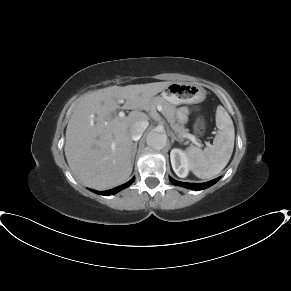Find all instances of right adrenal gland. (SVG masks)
Wrapping results in <instances>:
<instances>
[{
    "instance_id": "2a0ac1e0",
    "label": "right adrenal gland",
    "mask_w": 291,
    "mask_h": 291,
    "mask_svg": "<svg viewBox=\"0 0 291 291\" xmlns=\"http://www.w3.org/2000/svg\"><path fill=\"white\" fill-rule=\"evenodd\" d=\"M137 144H138V141H136L134 143V149H133V155H132V162H134L135 154H136V151H137Z\"/></svg>"
}]
</instances>
